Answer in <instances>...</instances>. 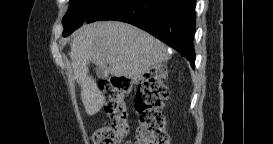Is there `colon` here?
I'll list each match as a JSON object with an SVG mask.
<instances>
[{
    "label": "colon",
    "mask_w": 273,
    "mask_h": 144,
    "mask_svg": "<svg viewBox=\"0 0 273 144\" xmlns=\"http://www.w3.org/2000/svg\"><path fill=\"white\" fill-rule=\"evenodd\" d=\"M167 77L165 66L152 68L138 81L136 110L139 125L136 130V144H168L169 135L162 108L168 97L164 84ZM132 82L126 77H112L102 80L99 89L108 99L104 109L112 123L98 127L93 134L94 144H118L128 132L127 110L124 97L130 92Z\"/></svg>",
    "instance_id": "colon-1"
}]
</instances>
